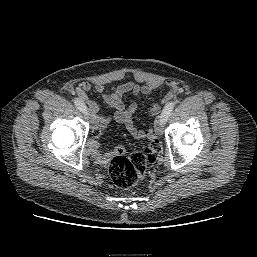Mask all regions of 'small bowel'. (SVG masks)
Wrapping results in <instances>:
<instances>
[{
    "label": "small bowel",
    "instance_id": "1",
    "mask_svg": "<svg viewBox=\"0 0 257 257\" xmlns=\"http://www.w3.org/2000/svg\"><path fill=\"white\" fill-rule=\"evenodd\" d=\"M161 85L160 81H150L144 85L137 84L132 81H124L119 85L108 88L103 84L94 85L95 91L101 96L105 104L113 110L112 115L98 116L99 106L98 104L89 98V92L92 86L87 82H82L76 87V94L80 100L88 107L94 116V123L99 126L102 130L105 129L112 120L123 124L127 131L137 140L144 138L155 139L157 136L156 124L146 133L144 130L136 127L133 121L134 114L138 111L139 107L136 103L126 105L123 101L125 94H148ZM180 93V88L169 84V90L165 95L164 101H167L175 97ZM161 108V104H156L152 107V114L157 115Z\"/></svg>",
    "mask_w": 257,
    "mask_h": 257
}]
</instances>
